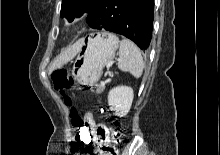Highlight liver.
Wrapping results in <instances>:
<instances>
[{
	"mask_svg": "<svg viewBox=\"0 0 220 155\" xmlns=\"http://www.w3.org/2000/svg\"><path fill=\"white\" fill-rule=\"evenodd\" d=\"M81 45H82V41L80 40L71 48L61 53L50 65L49 72L51 73L56 68H59L62 65L66 64L67 62H69L70 60H72L80 51Z\"/></svg>",
	"mask_w": 220,
	"mask_h": 155,
	"instance_id": "obj_1",
	"label": "liver"
}]
</instances>
